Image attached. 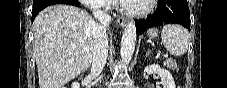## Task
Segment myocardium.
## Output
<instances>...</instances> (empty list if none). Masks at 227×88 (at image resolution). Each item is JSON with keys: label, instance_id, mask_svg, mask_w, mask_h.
Returning a JSON list of instances; mask_svg holds the SVG:
<instances>
[{"label": "myocardium", "instance_id": "myocardium-1", "mask_svg": "<svg viewBox=\"0 0 227 88\" xmlns=\"http://www.w3.org/2000/svg\"><path fill=\"white\" fill-rule=\"evenodd\" d=\"M155 2L156 0H145L146 4L143 7L137 8L132 4L127 7H121L120 11L130 17H143L153 10Z\"/></svg>", "mask_w": 227, "mask_h": 88}]
</instances>
